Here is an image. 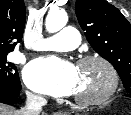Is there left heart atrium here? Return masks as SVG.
<instances>
[{
	"instance_id": "39dd6f15",
	"label": "left heart atrium",
	"mask_w": 131,
	"mask_h": 115,
	"mask_svg": "<svg viewBox=\"0 0 131 115\" xmlns=\"http://www.w3.org/2000/svg\"><path fill=\"white\" fill-rule=\"evenodd\" d=\"M24 80L29 88L37 92L69 96L77 87V68L55 56L41 57L26 66Z\"/></svg>"
}]
</instances>
